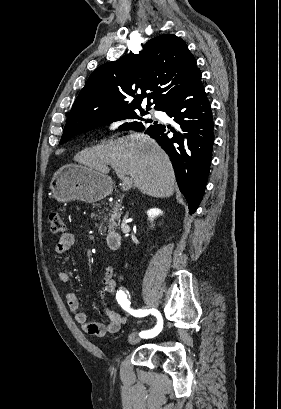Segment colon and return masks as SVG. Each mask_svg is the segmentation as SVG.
<instances>
[{
    "instance_id": "5ec220e1",
    "label": "colon",
    "mask_w": 281,
    "mask_h": 409,
    "mask_svg": "<svg viewBox=\"0 0 281 409\" xmlns=\"http://www.w3.org/2000/svg\"><path fill=\"white\" fill-rule=\"evenodd\" d=\"M49 221L51 229L54 233L61 235L67 231V223L61 212L57 210H50Z\"/></svg>"
}]
</instances>
